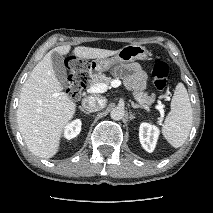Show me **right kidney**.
<instances>
[{"label": "right kidney", "instance_id": "1", "mask_svg": "<svg viewBox=\"0 0 213 213\" xmlns=\"http://www.w3.org/2000/svg\"><path fill=\"white\" fill-rule=\"evenodd\" d=\"M81 125L80 119H76L69 123L64 130L65 138L68 140L75 138L81 131Z\"/></svg>", "mask_w": 213, "mask_h": 213}]
</instances>
